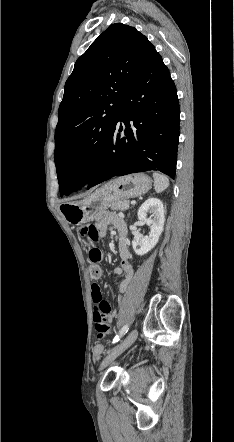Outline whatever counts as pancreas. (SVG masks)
<instances>
[{
	"label": "pancreas",
	"mask_w": 234,
	"mask_h": 442,
	"mask_svg": "<svg viewBox=\"0 0 234 442\" xmlns=\"http://www.w3.org/2000/svg\"><path fill=\"white\" fill-rule=\"evenodd\" d=\"M129 203H130V201L128 199L116 201V202H113L112 204H110V208H111V210H114V211H117V210L124 211L129 208Z\"/></svg>",
	"instance_id": "obj_1"
}]
</instances>
